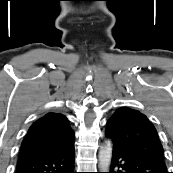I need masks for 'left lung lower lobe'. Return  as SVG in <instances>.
<instances>
[{"label": "left lung lower lobe", "instance_id": "0a47b994", "mask_svg": "<svg viewBox=\"0 0 173 173\" xmlns=\"http://www.w3.org/2000/svg\"><path fill=\"white\" fill-rule=\"evenodd\" d=\"M109 173H168L166 165L129 152L113 149Z\"/></svg>", "mask_w": 173, "mask_h": 173}]
</instances>
